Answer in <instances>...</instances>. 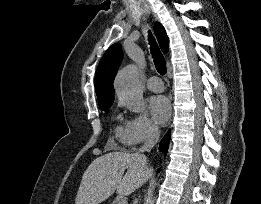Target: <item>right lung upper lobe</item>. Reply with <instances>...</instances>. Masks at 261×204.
<instances>
[{
  "mask_svg": "<svg viewBox=\"0 0 261 204\" xmlns=\"http://www.w3.org/2000/svg\"><path fill=\"white\" fill-rule=\"evenodd\" d=\"M154 32L163 52L168 51L169 39L163 26L156 22ZM123 58L121 44L116 43L108 48L101 58L95 74V88L98 103L114 101L113 81Z\"/></svg>",
  "mask_w": 261,
  "mask_h": 204,
  "instance_id": "1",
  "label": "right lung upper lobe"
}]
</instances>
